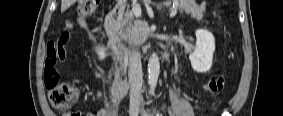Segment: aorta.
<instances>
[{
	"label": "aorta",
	"instance_id": "aorta-1",
	"mask_svg": "<svg viewBox=\"0 0 283 116\" xmlns=\"http://www.w3.org/2000/svg\"><path fill=\"white\" fill-rule=\"evenodd\" d=\"M159 73H160L159 58L156 53H152L148 62V79L152 94L154 93V89L157 85Z\"/></svg>",
	"mask_w": 283,
	"mask_h": 116
}]
</instances>
